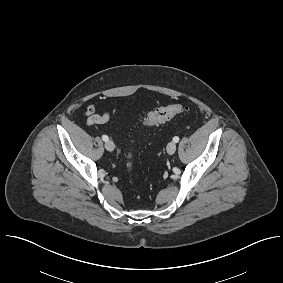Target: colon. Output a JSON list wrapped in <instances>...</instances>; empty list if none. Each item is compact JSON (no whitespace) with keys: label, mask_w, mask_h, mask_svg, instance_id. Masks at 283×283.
<instances>
[{"label":"colon","mask_w":283,"mask_h":283,"mask_svg":"<svg viewBox=\"0 0 283 283\" xmlns=\"http://www.w3.org/2000/svg\"><path fill=\"white\" fill-rule=\"evenodd\" d=\"M186 110V107L181 104H172L164 107L157 108L147 114L144 119L146 126H155L165 121L170 120L177 114H180ZM132 164L128 163V168H131Z\"/></svg>","instance_id":"colon-1"}]
</instances>
